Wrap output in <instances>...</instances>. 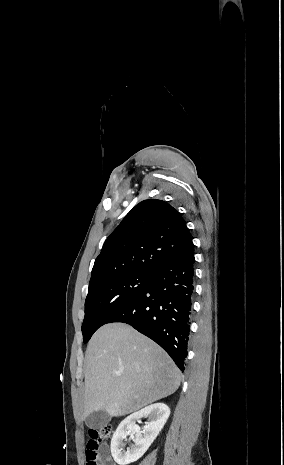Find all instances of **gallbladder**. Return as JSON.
<instances>
[{"instance_id":"bac80fb5","label":"gallbladder","mask_w":284,"mask_h":465,"mask_svg":"<svg viewBox=\"0 0 284 465\" xmlns=\"http://www.w3.org/2000/svg\"><path fill=\"white\" fill-rule=\"evenodd\" d=\"M109 421H111V417L104 411H95L85 419V423L90 429H103L108 425Z\"/></svg>"}]
</instances>
